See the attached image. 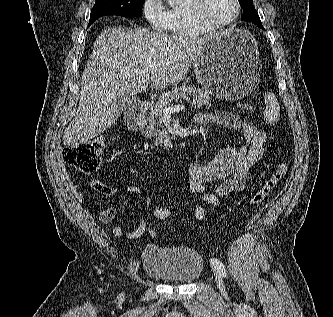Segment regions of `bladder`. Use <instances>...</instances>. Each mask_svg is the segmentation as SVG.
<instances>
[{
	"label": "bladder",
	"instance_id": "obj_1",
	"mask_svg": "<svg viewBox=\"0 0 333 317\" xmlns=\"http://www.w3.org/2000/svg\"><path fill=\"white\" fill-rule=\"evenodd\" d=\"M144 271L153 278L175 284H190L200 278L204 261L194 249L147 245L142 252Z\"/></svg>",
	"mask_w": 333,
	"mask_h": 317
}]
</instances>
